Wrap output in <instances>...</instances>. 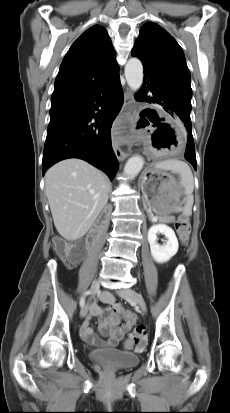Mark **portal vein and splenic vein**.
Wrapping results in <instances>:
<instances>
[{"label": "portal vein and splenic vein", "mask_w": 230, "mask_h": 413, "mask_svg": "<svg viewBox=\"0 0 230 413\" xmlns=\"http://www.w3.org/2000/svg\"><path fill=\"white\" fill-rule=\"evenodd\" d=\"M153 220H154V221H156V220H157V218H154Z\"/></svg>", "instance_id": "portal-vein-and-splenic-vein-1"}]
</instances>
